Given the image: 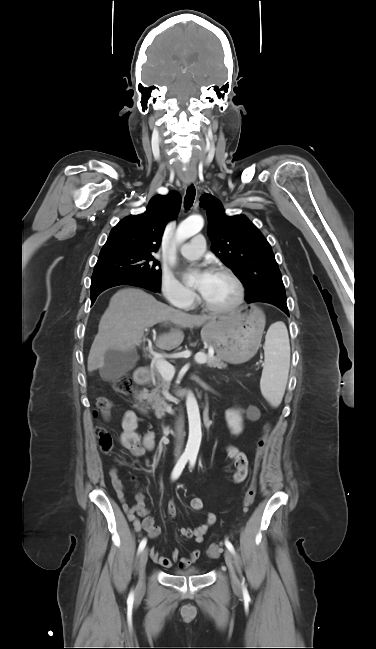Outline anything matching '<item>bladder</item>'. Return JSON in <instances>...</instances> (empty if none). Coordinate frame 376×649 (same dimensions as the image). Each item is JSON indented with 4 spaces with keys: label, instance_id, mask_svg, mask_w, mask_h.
Listing matches in <instances>:
<instances>
[{
    "label": "bladder",
    "instance_id": "31cf9c89",
    "mask_svg": "<svg viewBox=\"0 0 376 649\" xmlns=\"http://www.w3.org/2000/svg\"><path fill=\"white\" fill-rule=\"evenodd\" d=\"M200 573L201 570L198 567H189L186 569H178L175 571V574L179 576H195V575H199Z\"/></svg>",
    "mask_w": 376,
    "mask_h": 649
}]
</instances>
